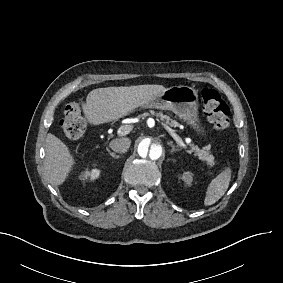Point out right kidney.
Returning a JSON list of instances; mask_svg holds the SVG:
<instances>
[{
	"label": "right kidney",
	"mask_w": 283,
	"mask_h": 283,
	"mask_svg": "<svg viewBox=\"0 0 283 283\" xmlns=\"http://www.w3.org/2000/svg\"><path fill=\"white\" fill-rule=\"evenodd\" d=\"M99 176V171L98 170H93L92 172L87 171L85 175V179L91 177L92 179H95Z\"/></svg>",
	"instance_id": "obj_1"
}]
</instances>
